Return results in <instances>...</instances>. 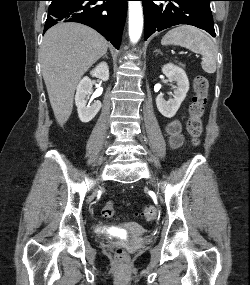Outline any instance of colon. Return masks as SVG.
<instances>
[{
  "label": "colon",
  "instance_id": "5ec220e1",
  "mask_svg": "<svg viewBox=\"0 0 250 285\" xmlns=\"http://www.w3.org/2000/svg\"><path fill=\"white\" fill-rule=\"evenodd\" d=\"M208 87V80L204 76H197L194 79V95L189 108L187 131L195 144L199 142L203 132L202 116L207 104ZM101 214L105 218H112L115 214L113 202H107L101 209ZM140 216L146 221H153L157 216L156 208L154 206H146L141 211ZM115 258L119 263H123L126 260L125 251L121 246L115 249Z\"/></svg>",
  "mask_w": 250,
  "mask_h": 285
}]
</instances>
